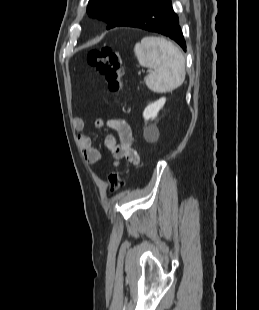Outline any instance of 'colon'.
<instances>
[{
  "label": "colon",
  "instance_id": "1",
  "mask_svg": "<svg viewBox=\"0 0 259 310\" xmlns=\"http://www.w3.org/2000/svg\"><path fill=\"white\" fill-rule=\"evenodd\" d=\"M88 63L101 74L108 83V88L116 97L124 91L123 69L116 50L110 46L92 49L87 55ZM111 190H116L124 185L125 174L121 170H113L108 176Z\"/></svg>",
  "mask_w": 259,
  "mask_h": 310
}]
</instances>
